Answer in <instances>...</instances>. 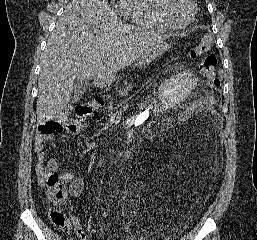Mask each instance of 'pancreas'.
<instances>
[{
  "label": "pancreas",
  "instance_id": "obj_1",
  "mask_svg": "<svg viewBox=\"0 0 257 240\" xmlns=\"http://www.w3.org/2000/svg\"><path fill=\"white\" fill-rule=\"evenodd\" d=\"M127 90H128V89L120 90V91H119V94H120V95H127Z\"/></svg>",
  "mask_w": 257,
  "mask_h": 240
}]
</instances>
